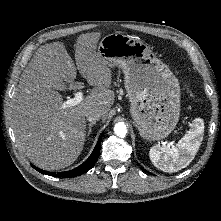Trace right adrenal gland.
<instances>
[{
	"label": "right adrenal gland",
	"mask_w": 221,
	"mask_h": 221,
	"mask_svg": "<svg viewBox=\"0 0 221 221\" xmlns=\"http://www.w3.org/2000/svg\"><path fill=\"white\" fill-rule=\"evenodd\" d=\"M95 124H96L95 121L88 124L87 137H89V135L91 134V132H92V126L95 125Z\"/></svg>",
	"instance_id": "obj_1"
}]
</instances>
